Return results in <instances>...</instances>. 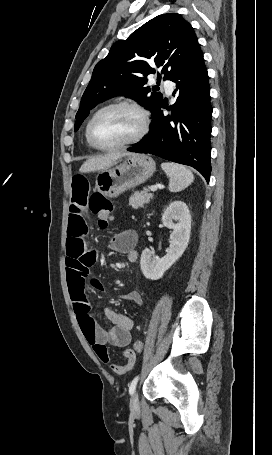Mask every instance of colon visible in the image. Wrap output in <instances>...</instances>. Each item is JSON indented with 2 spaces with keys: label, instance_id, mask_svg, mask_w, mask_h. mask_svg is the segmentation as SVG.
I'll list each match as a JSON object with an SVG mask.
<instances>
[{
  "label": "colon",
  "instance_id": "5ec220e1",
  "mask_svg": "<svg viewBox=\"0 0 272 455\" xmlns=\"http://www.w3.org/2000/svg\"><path fill=\"white\" fill-rule=\"evenodd\" d=\"M89 209L96 216L98 225L101 229H106L113 218L112 203L98 193H94L89 199ZM133 351L141 353L143 350V342L137 340L134 343Z\"/></svg>",
  "mask_w": 272,
  "mask_h": 455
}]
</instances>
